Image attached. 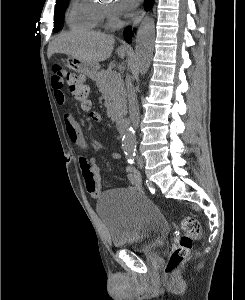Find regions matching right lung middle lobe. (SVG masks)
<instances>
[{"label":"right lung middle lobe","mask_w":245,"mask_h":300,"mask_svg":"<svg viewBox=\"0 0 245 300\" xmlns=\"http://www.w3.org/2000/svg\"><path fill=\"white\" fill-rule=\"evenodd\" d=\"M68 5V0H59L56 2L55 16H54V32H58L63 27V17Z\"/></svg>","instance_id":"right-lung-middle-lobe-1"}]
</instances>
